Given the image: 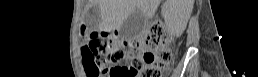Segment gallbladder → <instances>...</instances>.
Returning a JSON list of instances; mask_svg holds the SVG:
<instances>
[{"mask_svg": "<svg viewBox=\"0 0 258 77\" xmlns=\"http://www.w3.org/2000/svg\"><path fill=\"white\" fill-rule=\"evenodd\" d=\"M147 23V18L138 9L131 13L119 29L122 39L131 40L140 34Z\"/></svg>", "mask_w": 258, "mask_h": 77, "instance_id": "gallbladder-1", "label": "gallbladder"}]
</instances>
